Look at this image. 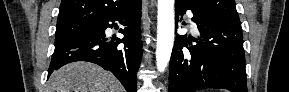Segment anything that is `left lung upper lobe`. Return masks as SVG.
<instances>
[{"mask_svg": "<svg viewBox=\"0 0 289 92\" xmlns=\"http://www.w3.org/2000/svg\"><path fill=\"white\" fill-rule=\"evenodd\" d=\"M194 6L229 21L240 23L234 0H187Z\"/></svg>", "mask_w": 289, "mask_h": 92, "instance_id": "5c2ea615", "label": "left lung upper lobe"}]
</instances>
